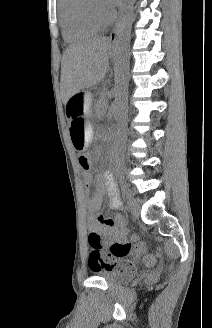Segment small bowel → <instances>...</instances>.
Here are the masks:
<instances>
[{
	"instance_id": "small-bowel-1",
	"label": "small bowel",
	"mask_w": 212,
	"mask_h": 328,
	"mask_svg": "<svg viewBox=\"0 0 212 328\" xmlns=\"http://www.w3.org/2000/svg\"><path fill=\"white\" fill-rule=\"evenodd\" d=\"M85 188L87 192L86 207L90 214L89 229L101 234L106 243L114 240L124 239L128 233L126 223L122 214L117 213L112 217L106 216L100 212L102 206V197L106 194L109 198V206L113 210L122 208V201L119 195L116 180L109 171L92 175L90 170H83ZM92 184L95 185V191L92 196L89 195ZM93 271L100 270L96 266L89 265ZM121 270H134L133 262L125 263L120 267Z\"/></svg>"
}]
</instances>
